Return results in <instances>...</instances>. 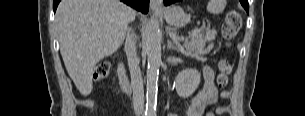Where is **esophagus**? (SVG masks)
I'll list each match as a JSON object with an SVG mask.
<instances>
[{
    "instance_id": "esophagus-1",
    "label": "esophagus",
    "mask_w": 305,
    "mask_h": 116,
    "mask_svg": "<svg viewBox=\"0 0 305 116\" xmlns=\"http://www.w3.org/2000/svg\"><path fill=\"white\" fill-rule=\"evenodd\" d=\"M150 8L152 10H161L162 1L161 0H150Z\"/></svg>"
}]
</instances>
